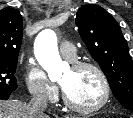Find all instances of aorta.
<instances>
[{
  "mask_svg": "<svg viewBox=\"0 0 133 118\" xmlns=\"http://www.w3.org/2000/svg\"><path fill=\"white\" fill-rule=\"evenodd\" d=\"M35 56L47 71L50 80H58L69 65L62 61L57 48V37L50 29L43 30L37 36L34 45Z\"/></svg>",
  "mask_w": 133,
  "mask_h": 118,
  "instance_id": "1",
  "label": "aorta"
}]
</instances>
